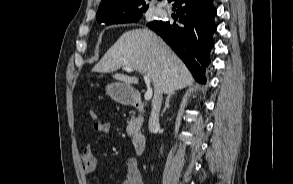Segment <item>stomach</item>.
I'll list each match as a JSON object with an SVG mask.
<instances>
[{
	"instance_id": "0dacf381",
	"label": "stomach",
	"mask_w": 293,
	"mask_h": 184,
	"mask_svg": "<svg viewBox=\"0 0 293 184\" xmlns=\"http://www.w3.org/2000/svg\"><path fill=\"white\" fill-rule=\"evenodd\" d=\"M106 93L120 104H130L136 100L138 92L127 83L115 82L106 86Z\"/></svg>"
}]
</instances>
